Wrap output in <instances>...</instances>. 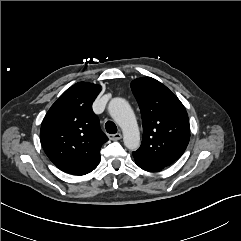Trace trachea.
I'll return each mask as SVG.
<instances>
[{"label":"trachea","mask_w":241,"mask_h":241,"mask_svg":"<svg viewBox=\"0 0 241 241\" xmlns=\"http://www.w3.org/2000/svg\"><path fill=\"white\" fill-rule=\"evenodd\" d=\"M105 128L109 134H115L117 132V126L112 121H107Z\"/></svg>","instance_id":"obj_1"}]
</instances>
